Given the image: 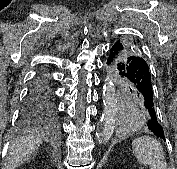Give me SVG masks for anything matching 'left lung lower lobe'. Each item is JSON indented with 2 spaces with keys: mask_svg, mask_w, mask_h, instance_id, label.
I'll return each instance as SVG.
<instances>
[{
  "mask_svg": "<svg viewBox=\"0 0 177 169\" xmlns=\"http://www.w3.org/2000/svg\"><path fill=\"white\" fill-rule=\"evenodd\" d=\"M122 49V45L118 42L114 43L109 50L107 64L116 75L120 76L122 81L127 82L132 89L140 94L141 100L151 116L147 124L148 129L165 140L164 131L157 119L154 107L149 67L143 58L134 55L117 61ZM131 87L130 90H132Z\"/></svg>",
  "mask_w": 177,
  "mask_h": 169,
  "instance_id": "0a47b994",
  "label": "left lung lower lobe"
}]
</instances>
